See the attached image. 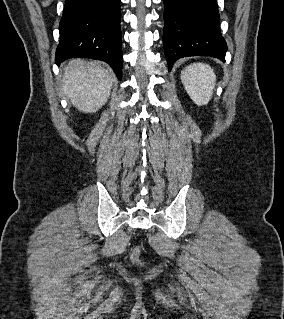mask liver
<instances>
[{
  "label": "liver",
  "mask_w": 284,
  "mask_h": 319,
  "mask_svg": "<svg viewBox=\"0 0 284 319\" xmlns=\"http://www.w3.org/2000/svg\"><path fill=\"white\" fill-rule=\"evenodd\" d=\"M115 75L99 61L72 59L63 76V91L85 113L98 111L108 100Z\"/></svg>",
  "instance_id": "6515ba94"
}]
</instances>
